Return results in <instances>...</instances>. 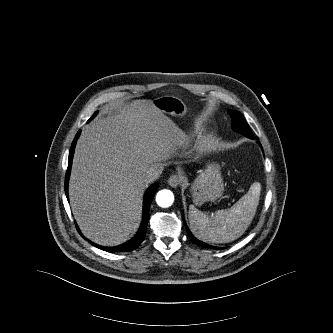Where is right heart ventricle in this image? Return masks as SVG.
<instances>
[{
  "label": "right heart ventricle",
  "mask_w": 333,
  "mask_h": 333,
  "mask_svg": "<svg viewBox=\"0 0 333 333\" xmlns=\"http://www.w3.org/2000/svg\"><path fill=\"white\" fill-rule=\"evenodd\" d=\"M179 137L183 143H188L191 140V136L185 132L180 133Z\"/></svg>",
  "instance_id": "e07e8e85"
}]
</instances>
